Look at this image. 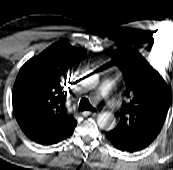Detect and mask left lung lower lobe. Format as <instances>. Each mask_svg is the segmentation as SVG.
<instances>
[{
  "mask_svg": "<svg viewBox=\"0 0 173 170\" xmlns=\"http://www.w3.org/2000/svg\"><path fill=\"white\" fill-rule=\"evenodd\" d=\"M109 141L117 148V149H120L122 151H126V152H136V151H139V150H135V149H129L127 147H125L119 140L113 138V137H110L108 134H106Z\"/></svg>",
  "mask_w": 173,
  "mask_h": 170,
  "instance_id": "1",
  "label": "left lung lower lobe"
}]
</instances>
